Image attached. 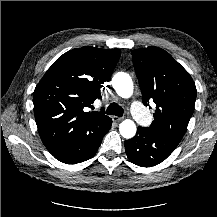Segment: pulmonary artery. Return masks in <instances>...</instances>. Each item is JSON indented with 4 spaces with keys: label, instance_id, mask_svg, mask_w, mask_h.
Masks as SVG:
<instances>
[{
    "label": "pulmonary artery",
    "instance_id": "pulmonary-artery-1",
    "mask_svg": "<svg viewBox=\"0 0 217 217\" xmlns=\"http://www.w3.org/2000/svg\"><path fill=\"white\" fill-rule=\"evenodd\" d=\"M131 113L137 116L138 118H142L144 115L142 111V107L138 102L131 104Z\"/></svg>",
    "mask_w": 217,
    "mask_h": 217
}]
</instances>
